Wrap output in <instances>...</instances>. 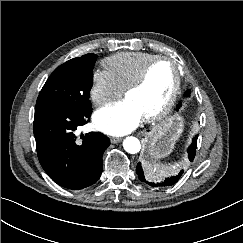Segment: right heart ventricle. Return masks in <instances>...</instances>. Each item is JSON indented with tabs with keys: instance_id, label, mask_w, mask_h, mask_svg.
Returning <instances> with one entry per match:
<instances>
[{
	"instance_id": "e07e8e85",
	"label": "right heart ventricle",
	"mask_w": 243,
	"mask_h": 243,
	"mask_svg": "<svg viewBox=\"0 0 243 243\" xmlns=\"http://www.w3.org/2000/svg\"><path fill=\"white\" fill-rule=\"evenodd\" d=\"M158 55L147 52H121L106 58L104 68L122 89L132 82L145 65Z\"/></svg>"
}]
</instances>
